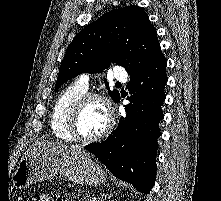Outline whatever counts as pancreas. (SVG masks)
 Instances as JSON below:
<instances>
[{
  "instance_id": "1",
  "label": "pancreas",
  "mask_w": 221,
  "mask_h": 201,
  "mask_svg": "<svg viewBox=\"0 0 221 201\" xmlns=\"http://www.w3.org/2000/svg\"><path fill=\"white\" fill-rule=\"evenodd\" d=\"M80 196H81L80 193H78V194L76 193V198L78 199V201H81V199H82Z\"/></svg>"
}]
</instances>
